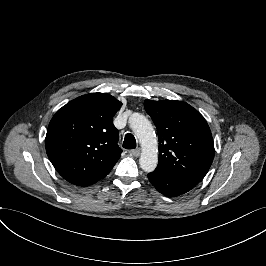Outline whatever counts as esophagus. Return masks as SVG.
Listing matches in <instances>:
<instances>
[{
    "instance_id": "obj_1",
    "label": "esophagus",
    "mask_w": 266,
    "mask_h": 266,
    "mask_svg": "<svg viewBox=\"0 0 266 266\" xmlns=\"http://www.w3.org/2000/svg\"><path fill=\"white\" fill-rule=\"evenodd\" d=\"M129 153L133 157H138L140 155V150L139 149L131 150Z\"/></svg>"
}]
</instances>
